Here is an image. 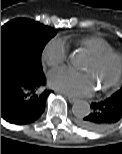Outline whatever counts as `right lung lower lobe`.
<instances>
[{
    "label": "right lung lower lobe",
    "mask_w": 122,
    "mask_h": 154,
    "mask_svg": "<svg viewBox=\"0 0 122 154\" xmlns=\"http://www.w3.org/2000/svg\"><path fill=\"white\" fill-rule=\"evenodd\" d=\"M45 76L29 58L1 50V117L17 125L37 120L50 93Z\"/></svg>",
    "instance_id": "98d812e1"
}]
</instances>
